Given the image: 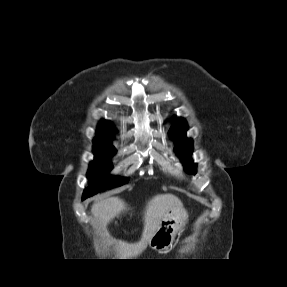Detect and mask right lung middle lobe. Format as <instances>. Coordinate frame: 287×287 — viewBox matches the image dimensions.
Instances as JSON below:
<instances>
[{
	"instance_id": "obj_1",
	"label": "right lung middle lobe",
	"mask_w": 287,
	"mask_h": 287,
	"mask_svg": "<svg viewBox=\"0 0 287 287\" xmlns=\"http://www.w3.org/2000/svg\"><path fill=\"white\" fill-rule=\"evenodd\" d=\"M95 160L90 163L87 177L90 181L89 186L84 190L83 197L87 198L99 192H103L113 187L125 184L128 178L109 176L112 164L109 158L116 153V149L111 143L94 142Z\"/></svg>"
}]
</instances>
